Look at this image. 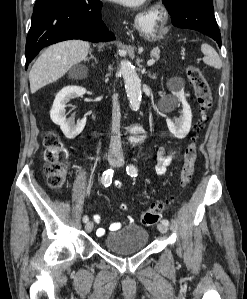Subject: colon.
<instances>
[{
	"label": "colon",
	"instance_id": "colon-1",
	"mask_svg": "<svg viewBox=\"0 0 247 299\" xmlns=\"http://www.w3.org/2000/svg\"><path fill=\"white\" fill-rule=\"evenodd\" d=\"M186 74L194 89L198 103L199 119L195 125L196 135L192 137L184 152V164L181 168L179 181V186L182 189L186 188L192 179L197 158V134L203 129L212 106L211 89L200 69L194 65H188ZM44 147V171L48 183L51 188L60 190L66 182L65 160L68 155L67 149L55 133H48L45 136ZM171 201L172 199L152 203L149 209L140 214L141 223L146 226L156 224L160 220L165 205Z\"/></svg>",
	"mask_w": 247,
	"mask_h": 299
}]
</instances>
